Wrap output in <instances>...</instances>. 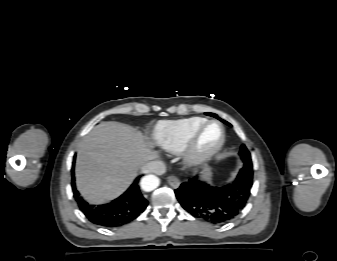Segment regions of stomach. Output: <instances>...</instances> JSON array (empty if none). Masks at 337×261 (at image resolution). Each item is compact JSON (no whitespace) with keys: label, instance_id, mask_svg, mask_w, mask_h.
Masks as SVG:
<instances>
[{"label":"stomach","instance_id":"0dacf381","mask_svg":"<svg viewBox=\"0 0 337 261\" xmlns=\"http://www.w3.org/2000/svg\"><path fill=\"white\" fill-rule=\"evenodd\" d=\"M204 174H205V177L207 178V179H211V171H210V169L208 168V167H206L205 168V172H204Z\"/></svg>","mask_w":337,"mask_h":261}]
</instances>
